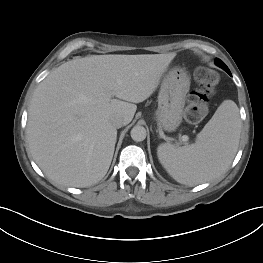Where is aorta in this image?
Wrapping results in <instances>:
<instances>
[{
    "instance_id": "obj_1",
    "label": "aorta",
    "mask_w": 263,
    "mask_h": 263,
    "mask_svg": "<svg viewBox=\"0 0 263 263\" xmlns=\"http://www.w3.org/2000/svg\"><path fill=\"white\" fill-rule=\"evenodd\" d=\"M131 138L136 142H141L145 140L146 138V129L143 126L136 125L132 128L131 132Z\"/></svg>"
}]
</instances>
